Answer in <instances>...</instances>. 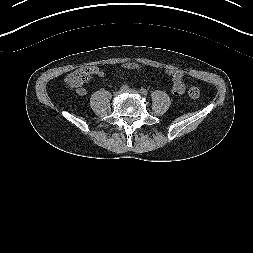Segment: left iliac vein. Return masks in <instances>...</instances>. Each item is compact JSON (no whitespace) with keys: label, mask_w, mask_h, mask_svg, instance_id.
I'll return each mask as SVG.
<instances>
[{"label":"left iliac vein","mask_w":253,"mask_h":253,"mask_svg":"<svg viewBox=\"0 0 253 253\" xmlns=\"http://www.w3.org/2000/svg\"><path fill=\"white\" fill-rule=\"evenodd\" d=\"M126 92L133 95H139V92L135 89H127Z\"/></svg>","instance_id":"left-iliac-vein-1"}]
</instances>
